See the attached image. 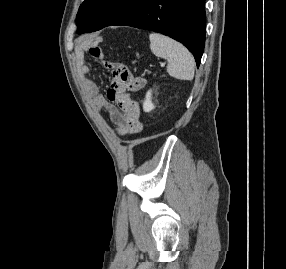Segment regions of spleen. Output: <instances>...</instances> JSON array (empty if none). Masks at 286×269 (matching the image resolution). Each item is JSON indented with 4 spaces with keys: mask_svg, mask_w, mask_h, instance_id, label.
<instances>
[{
    "mask_svg": "<svg viewBox=\"0 0 286 269\" xmlns=\"http://www.w3.org/2000/svg\"><path fill=\"white\" fill-rule=\"evenodd\" d=\"M149 39L153 54L168 61L167 72L170 76L187 81L194 78V58L182 44L158 33H151Z\"/></svg>",
    "mask_w": 286,
    "mask_h": 269,
    "instance_id": "spleen-1",
    "label": "spleen"
}]
</instances>
